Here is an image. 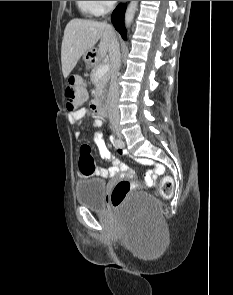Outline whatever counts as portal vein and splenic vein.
<instances>
[{
    "label": "portal vein and splenic vein",
    "mask_w": 233,
    "mask_h": 295,
    "mask_svg": "<svg viewBox=\"0 0 233 295\" xmlns=\"http://www.w3.org/2000/svg\"><path fill=\"white\" fill-rule=\"evenodd\" d=\"M109 71V64H103L99 67V69L97 70L96 75L97 76H102L103 74H105L106 72Z\"/></svg>",
    "instance_id": "18ae733b"
}]
</instances>
